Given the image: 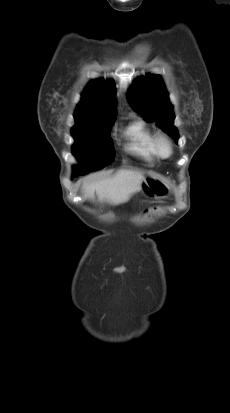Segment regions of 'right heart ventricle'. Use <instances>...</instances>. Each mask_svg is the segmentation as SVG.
<instances>
[{"instance_id": "right-heart-ventricle-1", "label": "right heart ventricle", "mask_w": 230, "mask_h": 413, "mask_svg": "<svg viewBox=\"0 0 230 413\" xmlns=\"http://www.w3.org/2000/svg\"><path fill=\"white\" fill-rule=\"evenodd\" d=\"M129 139V150L146 161H153L157 158L154 147L155 134L143 120H135L125 131Z\"/></svg>"}]
</instances>
